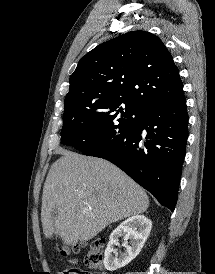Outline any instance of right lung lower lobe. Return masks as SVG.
Returning a JSON list of instances; mask_svg holds the SVG:
<instances>
[{
    "mask_svg": "<svg viewBox=\"0 0 215 274\" xmlns=\"http://www.w3.org/2000/svg\"><path fill=\"white\" fill-rule=\"evenodd\" d=\"M188 138L185 96L144 107L136 123L107 143L84 152L104 158L128 174L171 211Z\"/></svg>",
    "mask_w": 215,
    "mask_h": 274,
    "instance_id": "right-lung-lower-lobe-1",
    "label": "right lung lower lobe"
}]
</instances>
